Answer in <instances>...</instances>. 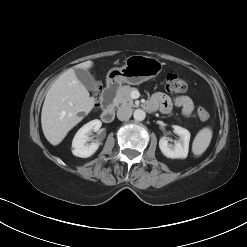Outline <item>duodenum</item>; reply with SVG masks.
Segmentation results:
<instances>
[{"label": "duodenum", "mask_w": 247, "mask_h": 247, "mask_svg": "<svg viewBox=\"0 0 247 247\" xmlns=\"http://www.w3.org/2000/svg\"><path fill=\"white\" fill-rule=\"evenodd\" d=\"M117 90V83L115 81H109L103 90L101 97V118L103 122L110 123L114 119V97Z\"/></svg>", "instance_id": "1"}]
</instances>
